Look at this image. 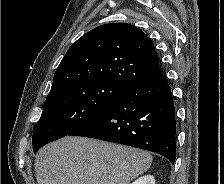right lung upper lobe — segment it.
<instances>
[{
	"instance_id": "obj_1",
	"label": "right lung upper lobe",
	"mask_w": 224,
	"mask_h": 184,
	"mask_svg": "<svg viewBox=\"0 0 224 184\" xmlns=\"http://www.w3.org/2000/svg\"><path fill=\"white\" fill-rule=\"evenodd\" d=\"M163 76L153 43L127 23L98 26L80 37L60 62L47 98L86 81L131 86Z\"/></svg>"
}]
</instances>
